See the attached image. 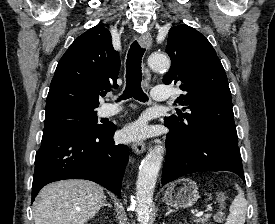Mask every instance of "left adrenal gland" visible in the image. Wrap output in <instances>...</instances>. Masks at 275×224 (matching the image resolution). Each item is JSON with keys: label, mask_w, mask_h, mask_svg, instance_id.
<instances>
[{"label": "left adrenal gland", "mask_w": 275, "mask_h": 224, "mask_svg": "<svg viewBox=\"0 0 275 224\" xmlns=\"http://www.w3.org/2000/svg\"><path fill=\"white\" fill-rule=\"evenodd\" d=\"M175 212L174 210L170 209V207H168V211L167 213L165 214V216H168L170 213H173Z\"/></svg>", "instance_id": "left-adrenal-gland-1"}]
</instances>
